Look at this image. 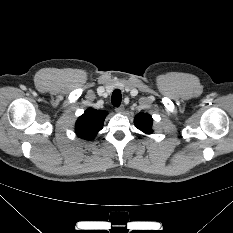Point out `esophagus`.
I'll use <instances>...</instances> for the list:
<instances>
[{
  "label": "esophagus",
  "mask_w": 233,
  "mask_h": 233,
  "mask_svg": "<svg viewBox=\"0 0 233 233\" xmlns=\"http://www.w3.org/2000/svg\"><path fill=\"white\" fill-rule=\"evenodd\" d=\"M115 110H116L117 113H123V111H124V106L121 105V106L117 107Z\"/></svg>",
  "instance_id": "34e87169"
}]
</instances>
